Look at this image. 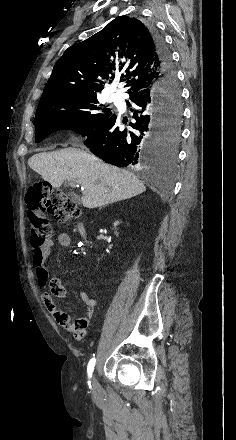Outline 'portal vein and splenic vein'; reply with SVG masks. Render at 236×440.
I'll list each match as a JSON object with an SVG mask.
<instances>
[{"label": "portal vein and splenic vein", "instance_id": "obj_1", "mask_svg": "<svg viewBox=\"0 0 236 440\" xmlns=\"http://www.w3.org/2000/svg\"><path fill=\"white\" fill-rule=\"evenodd\" d=\"M71 185L72 186H77V187L79 186L78 184H75L74 182H71Z\"/></svg>", "mask_w": 236, "mask_h": 440}]
</instances>
